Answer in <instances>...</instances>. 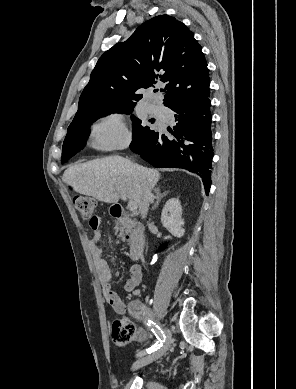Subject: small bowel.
Masks as SVG:
<instances>
[{"mask_svg": "<svg viewBox=\"0 0 296 389\" xmlns=\"http://www.w3.org/2000/svg\"><path fill=\"white\" fill-rule=\"evenodd\" d=\"M102 220L97 218V221L92 225L93 238L90 241L89 248L94 260V264L99 274V278L104 285V296L108 304L113 308L117 314H123L126 311V303L120 296L111 288L110 281L112 279V271L107 261L102 256V249L99 243L102 238L101 232ZM142 281V271L139 265L132 264L130 266V276L127 279L124 289L127 292H137V287ZM146 339V332L143 329L135 331L132 338L135 342H144Z\"/></svg>", "mask_w": 296, "mask_h": 389, "instance_id": "small-bowel-1", "label": "small bowel"}]
</instances>
